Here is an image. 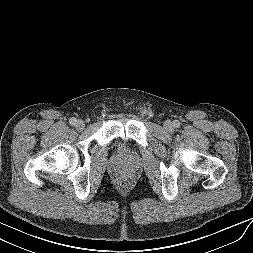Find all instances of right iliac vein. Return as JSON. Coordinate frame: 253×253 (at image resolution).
I'll return each instance as SVG.
<instances>
[{"mask_svg": "<svg viewBox=\"0 0 253 253\" xmlns=\"http://www.w3.org/2000/svg\"><path fill=\"white\" fill-rule=\"evenodd\" d=\"M75 126L78 130H82L84 128L85 124L82 120H77Z\"/></svg>", "mask_w": 253, "mask_h": 253, "instance_id": "right-iliac-vein-1", "label": "right iliac vein"}]
</instances>
